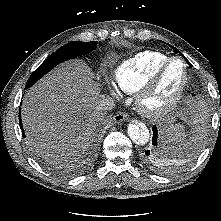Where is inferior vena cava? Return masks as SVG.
Here are the masks:
<instances>
[{
    "label": "inferior vena cava",
    "mask_w": 221,
    "mask_h": 221,
    "mask_svg": "<svg viewBox=\"0 0 221 221\" xmlns=\"http://www.w3.org/2000/svg\"><path fill=\"white\" fill-rule=\"evenodd\" d=\"M115 106L114 100L109 96H102L97 104V109L99 111H108L113 109Z\"/></svg>",
    "instance_id": "1"
}]
</instances>
